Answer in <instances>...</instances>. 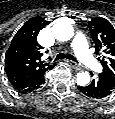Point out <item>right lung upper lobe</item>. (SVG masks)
Returning a JSON list of instances; mask_svg holds the SVG:
<instances>
[{"label":"right lung upper lobe","mask_w":115,"mask_h":119,"mask_svg":"<svg viewBox=\"0 0 115 119\" xmlns=\"http://www.w3.org/2000/svg\"><path fill=\"white\" fill-rule=\"evenodd\" d=\"M48 22L41 17L29 19L14 36L5 55V71L13 86L26 82L53 68L41 60L37 35Z\"/></svg>","instance_id":"right-lung-upper-lobe-1"}]
</instances>
